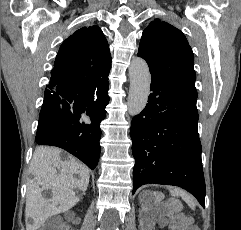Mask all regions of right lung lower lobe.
<instances>
[{
    "label": "right lung lower lobe",
    "instance_id": "obj_1",
    "mask_svg": "<svg viewBox=\"0 0 241 230\" xmlns=\"http://www.w3.org/2000/svg\"><path fill=\"white\" fill-rule=\"evenodd\" d=\"M108 86V78L63 76L51 81L44 92L36 143L65 149L93 170L100 156Z\"/></svg>",
    "mask_w": 241,
    "mask_h": 230
}]
</instances>
